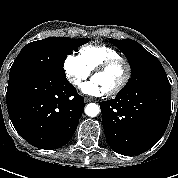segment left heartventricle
<instances>
[{"instance_id": "left-heart-ventricle-1", "label": "left heart ventricle", "mask_w": 178, "mask_h": 178, "mask_svg": "<svg viewBox=\"0 0 178 178\" xmlns=\"http://www.w3.org/2000/svg\"><path fill=\"white\" fill-rule=\"evenodd\" d=\"M124 75L125 67L122 63H119L105 72L94 76L93 79L99 82L106 92H109L121 83Z\"/></svg>"}]
</instances>
